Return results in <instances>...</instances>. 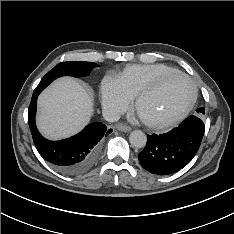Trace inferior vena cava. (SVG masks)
I'll list each match as a JSON object with an SVG mask.
<instances>
[{"label":"inferior vena cava","mask_w":234,"mask_h":234,"mask_svg":"<svg viewBox=\"0 0 234 234\" xmlns=\"http://www.w3.org/2000/svg\"><path fill=\"white\" fill-rule=\"evenodd\" d=\"M103 117L108 122H115L120 119V113L111 108H104L102 111Z\"/></svg>","instance_id":"obj_1"}]
</instances>
